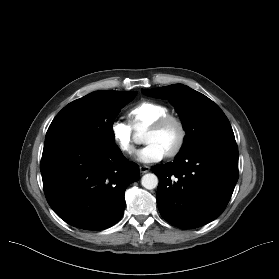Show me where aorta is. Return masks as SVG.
<instances>
[{"instance_id": "obj_1", "label": "aorta", "mask_w": 279, "mask_h": 279, "mask_svg": "<svg viewBox=\"0 0 279 279\" xmlns=\"http://www.w3.org/2000/svg\"><path fill=\"white\" fill-rule=\"evenodd\" d=\"M136 129L141 133L144 130V126L140 124ZM158 182V177L154 173H147L141 178L142 186L148 190L155 189L158 186Z\"/></svg>"}]
</instances>
